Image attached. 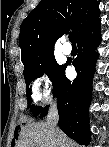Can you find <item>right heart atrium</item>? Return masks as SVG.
<instances>
[{
	"label": "right heart atrium",
	"mask_w": 109,
	"mask_h": 147,
	"mask_svg": "<svg viewBox=\"0 0 109 147\" xmlns=\"http://www.w3.org/2000/svg\"><path fill=\"white\" fill-rule=\"evenodd\" d=\"M32 98L38 102H48L52 96V86L47 74L37 78L32 84Z\"/></svg>",
	"instance_id": "1"
}]
</instances>
